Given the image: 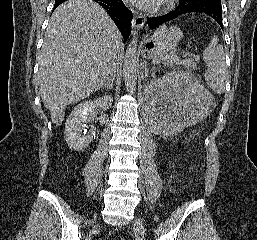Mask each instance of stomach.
I'll list each match as a JSON object with an SVG mask.
<instances>
[{"label": "stomach", "mask_w": 257, "mask_h": 240, "mask_svg": "<svg viewBox=\"0 0 257 240\" xmlns=\"http://www.w3.org/2000/svg\"><path fill=\"white\" fill-rule=\"evenodd\" d=\"M182 38L177 26H162L143 45V53L149 58L162 57L172 51Z\"/></svg>", "instance_id": "obj_1"}]
</instances>
